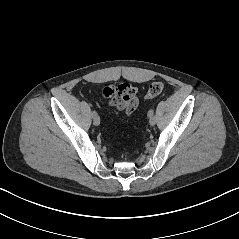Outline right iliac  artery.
I'll return each mask as SVG.
<instances>
[{
    "instance_id": "obj_1",
    "label": "right iliac artery",
    "mask_w": 239,
    "mask_h": 239,
    "mask_svg": "<svg viewBox=\"0 0 239 239\" xmlns=\"http://www.w3.org/2000/svg\"><path fill=\"white\" fill-rule=\"evenodd\" d=\"M97 115V112L95 110L92 111V116H96Z\"/></svg>"
}]
</instances>
